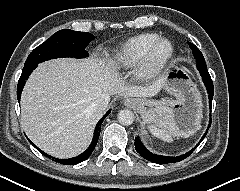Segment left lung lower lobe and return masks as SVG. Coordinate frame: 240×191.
I'll list each match as a JSON object with an SVG mask.
<instances>
[{"label": "left lung lower lobe", "instance_id": "left-lung-lower-lobe-1", "mask_svg": "<svg viewBox=\"0 0 240 191\" xmlns=\"http://www.w3.org/2000/svg\"><path fill=\"white\" fill-rule=\"evenodd\" d=\"M197 68L202 76L203 82L207 88V92L209 94V105H210V110H211V106H212V100H213V83L211 80V77L207 71V67L206 65H201V64H197ZM211 125V115H210V121H209V125L207 128V131L205 132L204 136L202 137V139L200 140V142L196 145V147L201 143V141L204 139V137L206 136L208 129ZM135 149L136 151L145 159L152 161L154 163H175V162H179L183 159H185L186 157H188L194 150L195 148H193L191 151L187 152L186 154L177 156V157H168V156H161V155H156L153 154L151 152H149L141 143L139 137L135 138Z\"/></svg>", "mask_w": 240, "mask_h": 191}]
</instances>
